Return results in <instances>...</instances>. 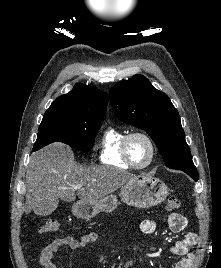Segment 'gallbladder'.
<instances>
[{
  "label": "gallbladder",
  "mask_w": 221,
  "mask_h": 268,
  "mask_svg": "<svg viewBox=\"0 0 221 268\" xmlns=\"http://www.w3.org/2000/svg\"><path fill=\"white\" fill-rule=\"evenodd\" d=\"M34 213L37 217H48L55 211L57 199H35Z\"/></svg>",
  "instance_id": "gallbladder-1"
}]
</instances>
